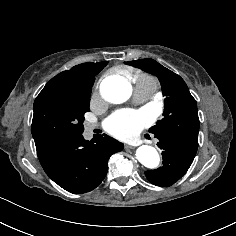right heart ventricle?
Listing matches in <instances>:
<instances>
[{"mask_svg": "<svg viewBox=\"0 0 236 236\" xmlns=\"http://www.w3.org/2000/svg\"><path fill=\"white\" fill-rule=\"evenodd\" d=\"M131 81L134 84V88L137 86H144L156 89L157 87L155 78L145 73H136L132 75Z\"/></svg>", "mask_w": 236, "mask_h": 236, "instance_id": "right-heart-ventricle-1", "label": "right heart ventricle"}]
</instances>
